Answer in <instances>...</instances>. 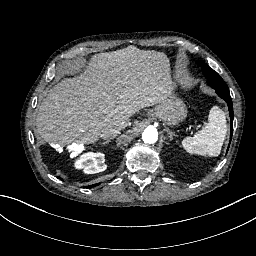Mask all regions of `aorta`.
I'll use <instances>...</instances> for the list:
<instances>
[{
  "label": "aorta",
  "instance_id": "1",
  "mask_svg": "<svg viewBox=\"0 0 256 256\" xmlns=\"http://www.w3.org/2000/svg\"><path fill=\"white\" fill-rule=\"evenodd\" d=\"M146 133V138L144 139L143 134ZM142 139L145 143L153 144L158 140V131L156 128L148 126L142 133Z\"/></svg>",
  "mask_w": 256,
  "mask_h": 256
}]
</instances>
